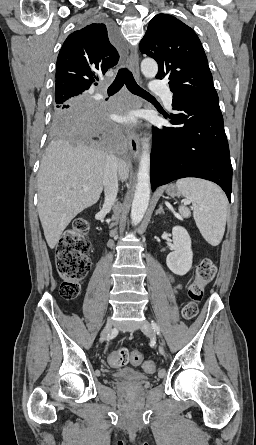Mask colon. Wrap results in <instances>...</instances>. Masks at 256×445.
Returning <instances> with one entry per match:
<instances>
[{
  "instance_id": "5ec220e1",
  "label": "colon",
  "mask_w": 256,
  "mask_h": 445,
  "mask_svg": "<svg viewBox=\"0 0 256 445\" xmlns=\"http://www.w3.org/2000/svg\"><path fill=\"white\" fill-rule=\"evenodd\" d=\"M88 222L84 217L76 218L71 227L65 230L56 247V268L62 279L60 294L64 299L75 300L80 294V282L90 269L88 254L91 244L86 237ZM216 276V266L212 259L204 258L196 269L195 280L188 287V302L182 310L185 320H192L198 312L197 304L202 300L205 288ZM143 356L138 351L129 352L120 348L110 353L108 363L120 368L131 361L139 365ZM144 371L154 373L156 364L147 360L143 364Z\"/></svg>"
}]
</instances>
